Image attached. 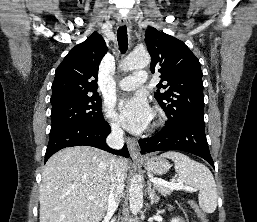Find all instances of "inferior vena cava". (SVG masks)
<instances>
[{"mask_svg": "<svg viewBox=\"0 0 257 222\" xmlns=\"http://www.w3.org/2000/svg\"><path fill=\"white\" fill-rule=\"evenodd\" d=\"M124 132L118 124L111 125V133L108 135L106 142L113 149H121L124 145ZM110 156V155H109ZM109 174H110V192L108 197L107 210L113 214L120 202V197L124 190V180L119 170L117 159L111 155L109 157Z\"/></svg>", "mask_w": 257, "mask_h": 222, "instance_id": "1", "label": "inferior vena cava"}]
</instances>
